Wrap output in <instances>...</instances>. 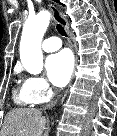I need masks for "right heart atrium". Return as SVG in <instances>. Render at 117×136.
I'll use <instances>...</instances> for the list:
<instances>
[{"label": "right heart atrium", "instance_id": "obj_1", "mask_svg": "<svg viewBox=\"0 0 117 136\" xmlns=\"http://www.w3.org/2000/svg\"><path fill=\"white\" fill-rule=\"evenodd\" d=\"M24 86L34 104L45 103L53 96L49 83L43 77H28Z\"/></svg>", "mask_w": 117, "mask_h": 136}]
</instances>
